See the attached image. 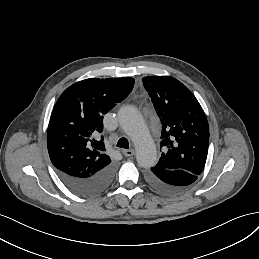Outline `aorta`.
<instances>
[{
    "label": "aorta",
    "mask_w": 259,
    "mask_h": 259,
    "mask_svg": "<svg viewBox=\"0 0 259 259\" xmlns=\"http://www.w3.org/2000/svg\"><path fill=\"white\" fill-rule=\"evenodd\" d=\"M118 118L122 129L135 144L139 165L144 168L154 166L157 163L156 146L139 111L133 106H124L119 110Z\"/></svg>",
    "instance_id": "aorta-1"
}]
</instances>
